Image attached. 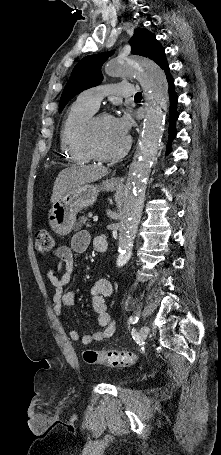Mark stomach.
<instances>
[{
	"instance_id": "1",
	"label": "stomach",
	"mask_w": 221,
	"mask_h": 455,
	"mask_svg": "<svg viewBox=\"0 0 221 455\" xmlns=\"http://www.w3.org/2000/svg\"><path fill=\"white\" fill-rule=\"evenodd\" d=\"M117 184L113 180L103 181L100 185H79L52 204L49 211V225L58 235H68L75 229L76 216L79 211L92 205L100 191H112Z\"/></svg>"
}]
</instances>
